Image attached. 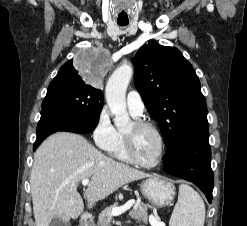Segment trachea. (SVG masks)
<instances>
[{
    "mask_svg": "<svg viewBox=\"0 0 247 226\" xmlns=\"http://www.w3.org/2000/svg\"><path fill=\"white\" fill-rule=\"evenodd\" d=\"M120 26H126L127 24H122V23H119Z\"/></svg>",
    "mask_w": 247,
    "mask_h": 226,
    "instance_id": "trachea-1",
    "label": "trachea"
}]
</instances>
